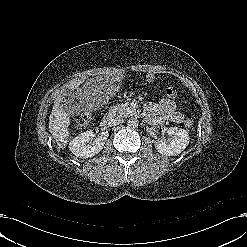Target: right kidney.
Returning <instances> with one entry per match:
<instances>
[{"label":"right kidney","instance_id":"1","mask_svg":"<svg viewBox=\"0 0 247 247\" xmlns=\"http://www.w3.org/2000/svg\"><path fill=\"white\" fill-rule=\"evenodd\" d=\"M94 133L92 130L80 133L69 143L70 151L79 158H90L98 154L104 144L106 137H98L93 142Z\"/></svg>","mask_w":247,"mask_h":247}]
</instances>
